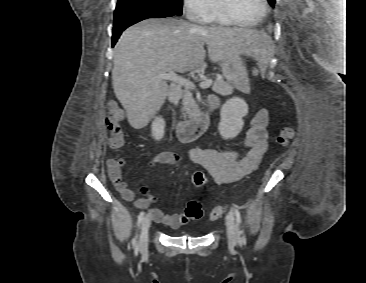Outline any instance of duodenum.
Masks as SVG:
<instances>
[{"instance_id":"duodenum-1","label":"duodenum","mask_w":366,"mask_h":283,"mask_svg":"<svg viewBox=\"0 0 366 283\" xmlns=\"http://www.w3.org/2000/svg\"><path fill=\"white\" fill-rule=\"evenodd\" d=\"M216 107V103L208 98L202 111L188 121L181 122L177 127V135L181 141L197 138L206 131L210 122V113Z\"/></svg>"}]
</instances>
